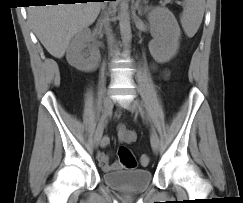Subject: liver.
I'll return each instance as SVG.
<instances>
[{"label":"liver","instance_id":"6515ba94","mask_svg":"<svg viewBox=\"0 0 243 203\" xmlns=\"http://www.w3.org/2000/svg\"><path fill=\"white\" fill-rule=\"evenodd\" d=\"M100 8V2L31 6L28 16L46 50L61 58L71 38L96 20Z\"/></svg>","mask_w":243,"mask_h":203}]
</instances>
